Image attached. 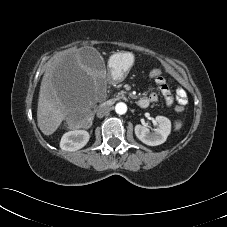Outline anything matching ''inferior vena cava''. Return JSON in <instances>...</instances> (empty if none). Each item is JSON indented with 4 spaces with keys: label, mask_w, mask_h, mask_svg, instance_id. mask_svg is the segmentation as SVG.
I'll use <instances>...</instances> for the list:
<instances>
[{
    "label": "inferior vena cava",
    "mask_w": 227,
    "mask_h": 227,
    "mask_svg": "<svg viewBox=\"0 0 227 227\" xmlns=\"http://www.w3.org/2000/svg\"><path fill=\"white\" fill-rule=\"evenodd\" d=\"M110 111H111V107L109 105L101 104L97 108V117L102 118V117L108 115Z\"/></svg>",
    "instance_id": "1"
}]
</instances>
